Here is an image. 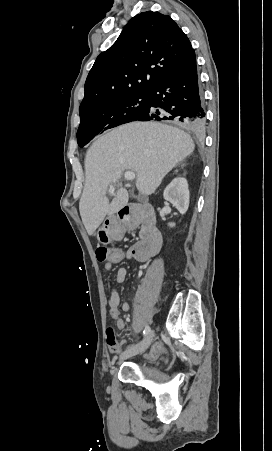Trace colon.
<instances>
[{"label": "colon", "mask_w": 272, "mask_h": 451, "mask_svg": "<svg viewBox=\"0 0 272 451\" xmlns=\"http://www.w3.org/2000/svg\"><path fill=\"white\" fill-rule=\"evenodd\" d=\"M120 254L118 247H111L110 249H98L96 260L97 262H106L107 258H114ZM107 344L110 347L116 345V330L113 325H107L106 327Z\"/></svg>", "instance_id": "colon-1"}]
</instances>
